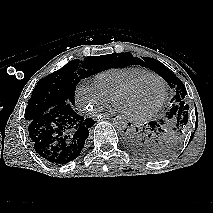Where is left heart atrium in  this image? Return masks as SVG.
Segmentation results:
<instances>
[{
    "instance_id": "1",
    "label": "left heart atrium",
    "mask_w": 213,
    "mask_h": 213,
    "mask_svg": "<svg viewBox=\"0 0 213 213\" xmlns=\"http://www.w3.org/2000/svg\"><path fill=\"white\" fill-rule=\"evenodd\" d=\"M115 108H116L118 111L125 113L124 110H123L118 104H116Z\"/></svg>"
}]
</instances>
